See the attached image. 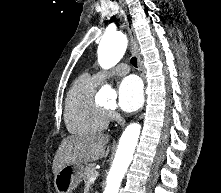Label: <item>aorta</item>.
I'll use <instances>...</instances> for the list:
<instances>
[{
	"mask_svg": "<svg viewBox=\"0 0 221 193\" xmlns=\"http://www.w3.org/2000/svg\"><path fill=\"white\" fill-rule=\"evenodd\" d=\"M127 48V38L122 32L108 33L102 38L98 48V60L102 66L111 67L118 63ZM99 94L105 98H115V92L109 85L101 88ZM141 126L132 123L123 131L118 149L106 180L104 193H118L121 181L132 162Z\"/></svg>",
	"mask_w": 221,
	"mask_h": 193,
	"instance_id": "obj_1",
	"label": "aorta"
}]
</instances>
